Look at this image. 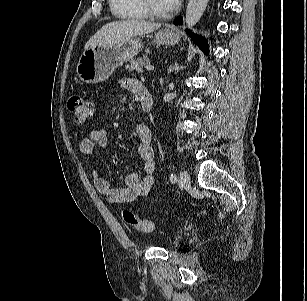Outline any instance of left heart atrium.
<instances>
[{"instance_id": "1", "label": "left heart atrium", "mask_w": 307, "mask_h": 301, "mask_svg": "<svg viewBox=\"0 0 307 301\" xmlns=\"http://www.w3.org/2000/svg\"><path fill=\"white\" fill-rule=\"evenodd\" d=\"M169 9H173L176 7L180 0H164Z\"/></svg>"}]
</instances>
